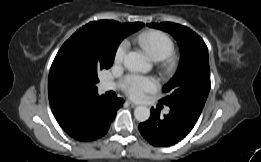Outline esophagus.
Here are the masks:
<instances>
[{"label":"esophagus","mask_w":261,"mask_h":162,"mask_svg":"<svg viewBox=\"0 0 261 162\" xmlns=\"http://www.w3.org/2000/svg\"><path fill=\"white\" fill-rule=\"evenodd\" d=\"M127 103H128L132 108L137 107V104H135L134 102H132V101H130V100H127Z\"/></svg>","instance_id":"1"}]
</instances>
